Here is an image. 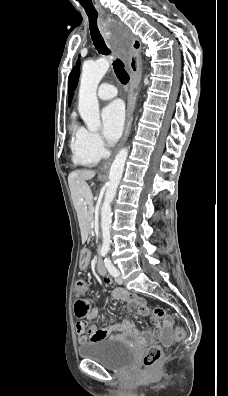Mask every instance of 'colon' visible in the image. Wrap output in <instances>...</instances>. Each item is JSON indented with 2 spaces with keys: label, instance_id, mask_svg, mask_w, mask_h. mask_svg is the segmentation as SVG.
I'll list each match as a JSON object with an SVG mask.
<instances>
[{
  "label": "colon",
  "instance_id": "5ec220e1",
  "mask_svg": "<svg viewBox=\"0 0 228 396\" xmlns=\"http://www.w3.org/2000/svg\"><path fill=\"white\" fill-rule=\"evenodd\" d=\"M75 293H76V302L74 306L75 314L79 318L77 323V327L80 329L86 328V320L85 316L90 311V304L87 299L88 287L85 281L78 280L75 283ZM150 316L156 319H162L166 317V313L162 308H154L150 312ZM185 331L182 326H176L174 330V339L176 341H180L184 338ZM162 356V350L159 346H151L146 352L143 360V364L147 369L153 368Z\"/></svg>",
  "mask_w": 228,
  "mask_h": 396
}]
</instances>
